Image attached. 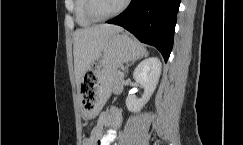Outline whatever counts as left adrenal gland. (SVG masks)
<instances>
[{"mask_svg": "<svg viewBox=\"0 0 243 145\" xmlns=\"http://www.w3.org/2000/svg\"><path fill=\"white\" fill-rule=\"evenodd\" d=\"M129 66V65H128ZM128 66L126 67V71H128Z\"/></svg>", "mask_w": 243, "mask_h": 145, "instance_id": "1", "label": "left adrenal gland"}]
</instances>
